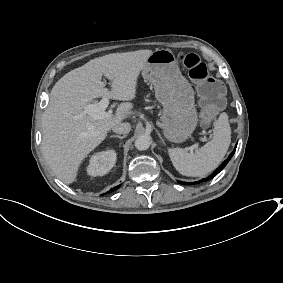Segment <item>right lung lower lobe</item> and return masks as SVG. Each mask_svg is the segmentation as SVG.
<instances>
[{"instance_id":"right-lung-lower-lobe-1","label":"right lung lower lobe","mask_w":283,"mask_h":283,"mask_svg":"<svg viewBox=\"0 0 283 283\" xmlns=\"http://www.w3.org/2000/svg\"><path fill=\"white\" fill-rule=\"evenodd\" d=\"M118 187H119V186H117V187H115V188H112V189H111V190H109L107 193H110V192H112V191L117 190V189H118Z\"/></svg>"}]
</instances>
